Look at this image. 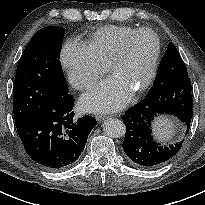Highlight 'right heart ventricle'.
I'll list each match as a JSON object with an SVG mask.
<instances>
[{"label": "right heart ventricle", "instance_id": "obj_1", "mask_svg": "<svg viewBox=\"0 0 205 205\" xmlns=\"http://www.w3.org/2000/svg\"><path fill=\"white\" fill-rule=\"evenodd\" d=\"M135 30L137 28L130 26L108 25L93 32L87 46L100 63L108 65L124 38Z\"/></svg>", "mask_w": 205, "mask_h": 205}]
</instances>
